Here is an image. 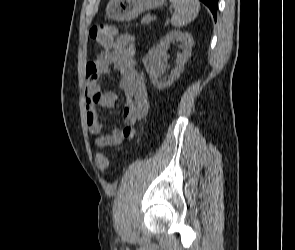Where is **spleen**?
I'll return each mask as SVG.
<instances>
[{
  "mask_svg": "<svg viewBox=\"0 0 295 250\" xmlns=\"http://www.w3.org/2000/svg\"><path fill=\"white\" fill-rule=\"evenodd\" d=\"M175 8L171 18L174 27H182L196 18L200 10L198 0H170Z\"/></svg>",
  "mask_w": 295,
  "mask_h": 250,
  "instance_id": "3e777b00",
  "label": "spleen"
}]
</instances>
